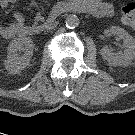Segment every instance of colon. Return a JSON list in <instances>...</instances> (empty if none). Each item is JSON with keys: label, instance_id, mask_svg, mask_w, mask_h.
<instances>
[{"label": "colon", "instance_id": "1", "mask_svg": "<svg viewBox=\"0 0 135 135\" xmlns=\"http://www.w3.org/2000/svg\"><path fill=\"white\" fill-rule=\"evenodd\" d=\"M120 15L123 23L135 31V2L122 4Z\"/></svg>", "mask_w": 135, "mask_h": 135}]
</instances>
